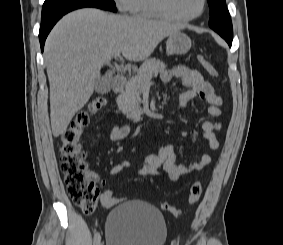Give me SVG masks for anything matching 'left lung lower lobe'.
<instances>
[{"label":"left lung lower lobe","mask_w":283,"mask_h":245,"mask_svg":"<svg viewBox=\"0 0 283 245\" xmlns=\"http://www.w3.org/2000/svg\"><path fill=\"white\" fill-rule=\"evenodd\" d=\"M224 39L227 41V43H228L229 46L231 47L232 39H233V38H224Z\"/></svg>","instance_id":"obj_1"}]
</instances>
